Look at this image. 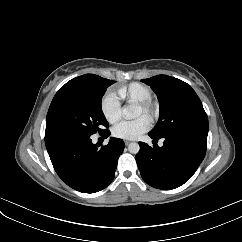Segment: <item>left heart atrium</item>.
I'll return each instance as SVG.
<instances>
[{
    "label": "left heart atrium",
    "mask_w": 242,
    "mask_h": 242,
    "mask_svg": "<svg viewBox=\"0 0 242 242\" xmlns=\"http://www.w3.org/2000/svg\"><path fill=\"white\" fill-rule=\"evenodd\" d=\"M150 126V120L145 116H141L131 121L119 122L113 127L112 133L117 138L135 140L148 131Z\"/></svg>",
    "instance_id": "obj_1"
}]
</instances>
